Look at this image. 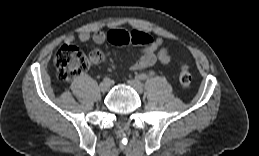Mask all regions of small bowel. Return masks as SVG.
Listing matches in <instances>:
<instances>
[{
	"mask_svg": "<svg viewBox=\"0 0 259 156\" xmlns=\"http://www.w3.org/2000/svg\"><path fill=\"white\" fill-rule=\"evenodd\" d=\"M108 33L106 31L100 30L94 34L88 32H81L78 35V39L81 42H87L92 40L95 44L101 45L106 40H108ZM74 37H70L68 41L72 42ZM105 59V54L101 49H95L90 54V60L94 64H98ZM157 62L161 64H168L170 62L169 48L164 45V40L160 37L154 39L148 46L141 50L140 57L131 64L132 70H141L149 68L156 64Z\"/></svg>",
	"mask_w": 259,
	"mask_h": 156,
	"instance_id": "c3829d8e",
	"label": "small bowel"
}]
</instances>
